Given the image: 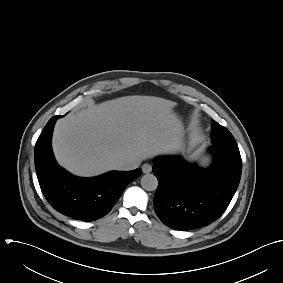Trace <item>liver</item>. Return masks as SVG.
Returning <instances> with one entry per match:
<instances>
[{
    "label": "liver",
    "mask_w": 283,
    "mask_h": 283,
    "mask_svg": "<svg viewBox=\"0 0 283 283\" xmlns=\"http://www.w3.org/2000/svg\"><path fill=\"white\" fill-rule=\"evenodd\" d=\"M175 106L163 98L126 96L68 114L55 125V157L76 175L96 176L115 169L118 160L140 163L171 152L183 131Z\"/></svg>",
    "instance_id": "1"
}]
</instances>
